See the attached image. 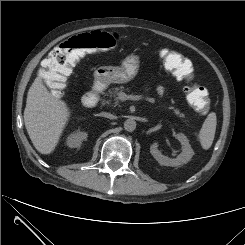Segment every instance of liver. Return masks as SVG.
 Here are the masks:
<instances>
[{"instance_id":"obj_1","label":"liver","mask_w":245,"mask_h":245,"mask_svg":"<svg viewBox=\"0 0 245 245\" xmlns=\"http://www.w3.org/2000/svg\"><path fill=\"white\" fill-rule=\"evenodd\" d=\"M69 116L66 103L54 97L43 84L42 75H38L27 94L24 122L40 153L50 154L55 149Z\"/></svg>"}]
</instances>
